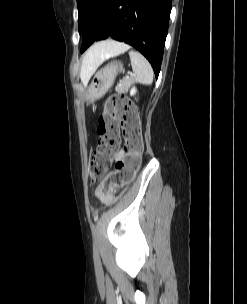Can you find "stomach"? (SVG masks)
Listing matches in <instances>:
<instances>
[{
	"instance_id": "1",
	"label": "stomach",
	"mask_w": 247,
	"mask_h": 304,
	"mask_svg": "<svg viewBox=\"0 0 247 304\" xmlns=\"http://www.w3.org/2000/svg\"><path fill=\"white\" fill-rule=\"evenodd\" d=\"M122 67V63L111 61L97 71L85 93V101L87 104H91L98 100L108 91Z\"/></svg>"
}]
</instances>
